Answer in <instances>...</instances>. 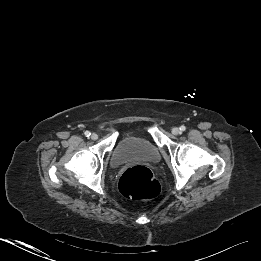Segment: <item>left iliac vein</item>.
I'll return each mask as SVG.
<instances>
[{
	"label": "left iliac vein",
	"mask_w": 261,
	"mask_h": 261,
	"mask_svg": "<svg viewBox=\"0 0 261 261\" xmlns=\"http://www.w3.org/2000/svg\"><path fill=\"white\" fill-rule=\"evenodd\" d=\"M172 133H173L174 135H178V134H180V129L177 128V127H174V128L172 129Z\"/></svg>",
	"instance_id": "left-iliac-vein-1"
}]
</instances>
